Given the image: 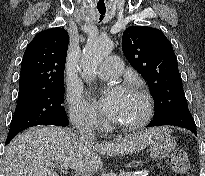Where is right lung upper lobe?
Instances as JSON below:
<instances>
[{
  "label": "right lung upper lobe",
  "mask_w": 205,
  "mask_h": 176,
  "mask_svg": "<svg viewBox=\"0 0 205 176\" xmlns=\"http://www.w3.org/2000/svg\"><path fill=\"white\" fill-rule=\"evenodd\" d=\"M68 42L63 28L44 30L34 37L23 56L19 94L64 84Z\"/></svg>",
  "instance_id": "obj_1"
}]
</instances>
